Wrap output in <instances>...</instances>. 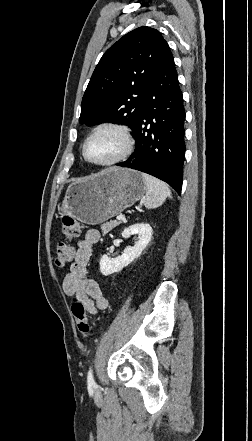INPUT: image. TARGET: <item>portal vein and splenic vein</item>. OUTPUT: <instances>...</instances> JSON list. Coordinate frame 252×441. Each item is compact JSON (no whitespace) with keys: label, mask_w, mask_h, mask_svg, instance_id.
Returning <instances> with one entry per match:
<instances>
[{"label":"portal vein and splenic vein","mask_w":252,"mask_h":441,"mask_svg":"<svg viewBox=\"0 0 252 441\" xmlns=\"http://www.w3.org/2000/svg\"><path fill=\"white\" fill-rule=\"evenodd\" d=\"M117 220H119V221H121V220H123L124 219V216H122V215H120V216H117V218H116Z\"/></svg>","instance_id":"18ae733b"}]
</instances>
